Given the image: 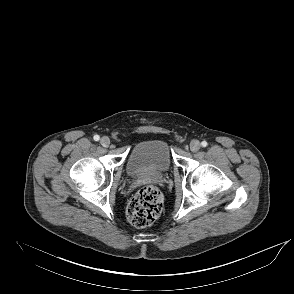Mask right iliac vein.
I'll return each mask as SVG.
<instances>
[{"instance_id": "right-iliac-vein-1", "label": "right iliac vein", "mask_w": 294, "mask_h": 294, "mask_svg": "<svg viewBox=\"0 0 294 294\" xmlns=\"http://www.w3.org/2000/svg\"><path fill=\"white\" fill-rule=\"evenodd\" d=\"M100 144L103 147H108L110 145V139L107 136H104L100 139Z\"/></svg>"}]
</instances>
